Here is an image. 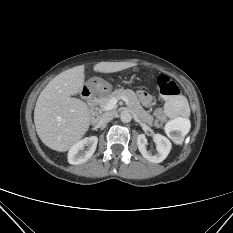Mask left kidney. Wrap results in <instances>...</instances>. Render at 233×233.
I'll use <instances>...</instances> for the list:
<instances>
[{"label":"left kidney","instance_id":"5707ae66","mask_svg":"<svg viewBox=\"0 0 233 233\" xmlns=\"http://www.w3.org/2000/svg\"><path fill=\"white\" fill-rule=\"evenodd\" d=\"M153 141L156 143V154L153 155L150 151H147V138L144 134H140L137 137L138 149L142 156L149 162L160 163L168 156L172 147L171 142L161 134H154Z\"/></svg>","mask_w":233,"mask_h":233}]
</instances>
